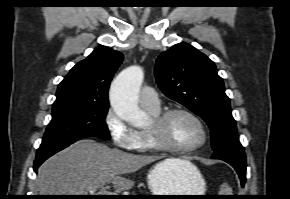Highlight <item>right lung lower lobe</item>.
<instances>
[{
    "label": "right lung lower lobe",
    "instance_id": "1",
    "mask_svg": "<svg viewBox=\"0 0 290 199\" xmlns=\"http://www.w3.org/2000/svg\"><path fill=\"white\" fill-rule=\"evenodd\" d=\"M74 143V142H73ZM70 144H63V145H58L54 147H49V148H44V149H38L37 154H36V159L34 161V171H37L38 167L50 156L54 155L55 153L61 151L62 149L68 147Z\"/></svg>",
    "mask_w": 290,
    "mask_h": 199
}]
</instances>
